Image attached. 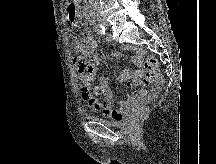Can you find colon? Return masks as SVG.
Here are the masks:
<instances>
[{
    "mask_svg": "<svg viewBox=\"0 0 216 164\" xmlns=\"http://www.w3.org/2000/svg\"><path fill=\"white\" fill-rule=\"evenodd\" d=\"M156 65H157V62L153 56L149 55L146 57L145 62H144V68L146 71V76H145V79L143 81L144 85H148L154 79L155 72H156ZM78 69L80 71H87L90 76L93 75L95 72V69L90 64H88V63L86 64L83 61H81L79 63ZM135 83H136L135 80L130 79V80L125 82V85L127 87H132L135 85Z\"/></svg>",
    "mask_w": 216,
    "mask_h": 164,
    "instance_id": "obj_1",
    "label": "colon"
}]
</instances>
